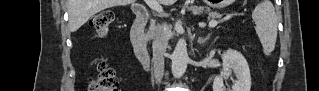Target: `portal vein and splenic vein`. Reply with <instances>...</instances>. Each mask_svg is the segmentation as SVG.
<instances>
[{
    "label": "portal vein and splenic vein",
    "mask_w": 319,
    "mask_h": 91,
    "mask_svg": "<svg viewBox=\"0 0 319 91\" xmlns=\"http://www.w3.org/2000/svg\"><path fill=\"white\" fill-rule=\"evenodd\" d=\"M147 2V4H148V6L152 9V10H154V11H156V12H158V13H162V7L160 6V4L157 2V1H155V0H148V1H146ZM218 23H219V21H216V20H211L210 22H209V27L210 28H214V27H216L217 25H218Z\"/></svg>",
    "instance_id": "obj_1"
}]
</instances>
